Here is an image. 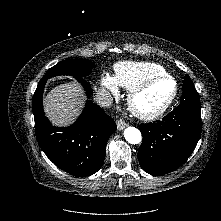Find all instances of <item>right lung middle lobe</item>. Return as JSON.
<instances>
[{
	"label": "right lung middle lobe",
	"instance_id": "right-lung-middle-lobe-1",
	"mask_svg": "<svg viewBox=\"0 0 221 221\" xmlns=\"http://www.w3.org/2000/svg\"><path fill=\"white\" fill-rule=\"evenodd\" d=\"M94 63L90 60H80V59H68L64 60L52 68H50L44 79H48L52 76L59 75H70L78 79L89 75L92 72Z\"/></svg>",
	"mask_w": 221,
	"mask_h": 221
}]
</instances>
